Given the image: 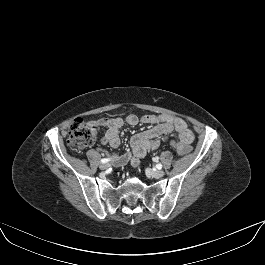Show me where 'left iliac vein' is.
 Instances as JSON below:
<instances>
[{"label":"left iliac vein","instance_id":"1","mask_svg":"<svg viewBox=\"0 0 265 265\" xmlns=\"http://www.w3.org/2000/svg\"><path fill=\"white\" fill-rule=\"evenodd\" d=\"M148 174L154 178H161L164 176V171H162V170H149Z\"/></svg>","mask_w":265,"mask_h":265}]
</instances>
